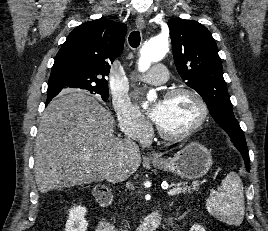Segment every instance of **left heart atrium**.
<instances>
[{"label": "left heart atrium", "instance_id": "obj_1", "mask_svg": "<svg viewBox=\"0 0 268 231\" xmlns=\"http://www.w3.org/2000/svg\"><path fill=\"white\" fill-rule=\"evenodd\" d=\"M161 102L156 103L152 109L150 110V117L157 122L158 116H159V108H160Z\"/></svg>", "mask_w": 268, "mask_h": 231}]
</instances>
